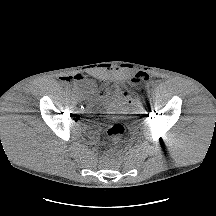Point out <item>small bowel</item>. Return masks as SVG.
Returning <instances> with one entry per match:
<instances>
[{
	"label": "small bowel",
	"mask_w": 216,
	"mask_h": 216,
	"mask_svg": "<svg viewBox=\"0 0 216 216\" xmlns=\"http://www.w3.org/2000/svg\"><path fill=\"white\" fill-rule=\"evenodd\" d=\"M145 76L146 75H144V74L136 75L134 77V81L139 82L141 80H145L146 79ZM62 80L67 82V83H70V82H83V81H85V77L82 74L77 73V74H74V75L69 76V77H64V78H62ZM87 88L92 89L93 85L90 84V83H87Z\"/></svg>",
	"instance_id": "1"
}]
</instances>
